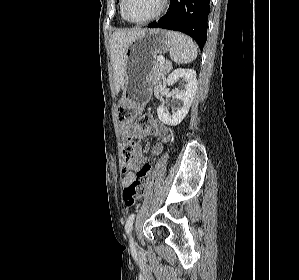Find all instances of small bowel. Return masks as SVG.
I'll return each mask as SVG.
<instances>
[{
    "mask_svg": "<svg viewBox=\"0 0 299 280\" xmlns=\"http://www.w3.org/2000/svg\"><path fill=\"white\" fill-rule=\"evenodd\" d=\"M124 134L136 139L133 158L128 164H124L123 167L124 177L122 180V185L125 187L130 182L136 179L137 170L145 161L139 141L149 136L159 137L160 140L155 142L151 148L152 154L156 156L162 152L164 143L169 139V133L167 127L164 124H162L158 120L152 119L150 124L146 127V133H139L138 136H133L132 126H126L124 128Z\"/></svg>",
    "mask_w": 299,
    "mask_h": 280,
    "instance_id": "small-bowel-1",
    "label": "small bowel"
}]
</instances>
